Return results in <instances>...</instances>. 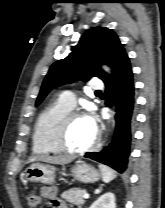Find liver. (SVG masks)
<instances>
[{
    "label": "liver",
    "instance_id": "6515ba94",
    "mask_svg": "<svg viewBox=\"0 0 165 208\" xmlns=\"http://www.w3.org/2000/svg\"><path fill=\"white\" fill-rule=\"evenodd\" d=\"M73 160H74L73 157L41 155V156L32 157L30 159V162L43 161L46 163H51V164H56V165H64V164L70 163Z\"/></svg>",
    "mask_w": 165,
    "mask_h": 208
}]
</instances>
